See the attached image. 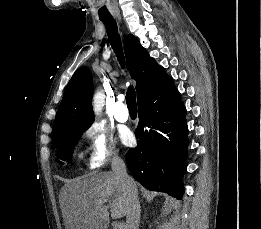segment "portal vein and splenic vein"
<instances>
[{"label": "portal vein and splenic vein", "instance_id": "1", "mask_svg": "<svg viewBox=\"0 0 261 229\" xmlns=\"http://www.w3.org/2000/svg\"><path fill=\"white\" fill-rule=\"evenodd\" d=\"M116 229H124L123 223H118Z\"/></svg>", "mask_w": 261, "mask_h": 229}]
</instances>
